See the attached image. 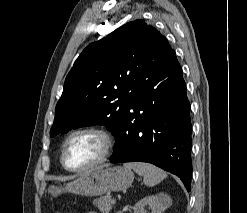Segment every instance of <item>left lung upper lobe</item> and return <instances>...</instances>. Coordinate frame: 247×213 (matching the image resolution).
<instances>
[{"instance_id": "obj_1", "label": "left lung upper lobe", "mask_w": 247, "mask_h": 213, "mask_svg": "<svg viewBox=\"0 0 247 213\" xmlns=\"http://www.w3.org/2000/svg\"><path fill=\"white\" fill-rule=\"evenodd\" d=\"M170 51L166 38L144 20L88 45L66 77L50 136L92 124L117 136L146 75Z\"/></svg>"}]
</instances>
